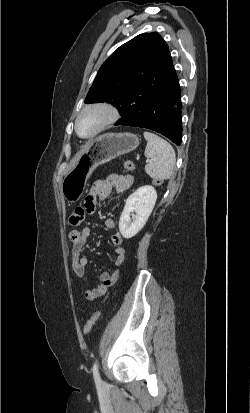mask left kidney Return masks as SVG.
Listing matches in <instances>:
<instances>
[{"label":"left kidney","mask_w":250,"mask_h":413,"mask_svg":"<svg viewBox=\"0 0 250 413\" xmlns=\"http://www.w3.org/2000/svg\"><path fill=\"white\" fill-rule=\"evenodd\" d=\"M156 200L157 192L149 185L138 188L128 197L119 221V230L124 238H132L144 227ZM131 212L136 213L133 220L130 218Z\"/></svg>","instance_id":"5707ae66"}]
</instances>
